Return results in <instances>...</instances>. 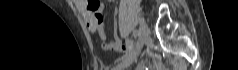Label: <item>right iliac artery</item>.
Returning a JSON list of instances; mask_svg holds the SVG:
<instances>
[{"instance_id": "1", "label": "right iliac artery", "mask_w": 238, "mask_h": 70, "mask_svg": "<svg viewBox=\"0 0 238 70\" xmlns=\"http://www.w3.org/2000/svg\"><path fill=\"white\" fill-rule=\"evenodd\" d=\"M138 35H139V31H138V30H135V31L133 32L134 38H136ZM119 60H120V59H118V61H119Z\"/></svg>"}]
</instances>
